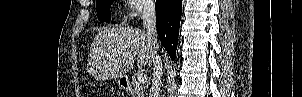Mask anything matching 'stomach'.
<instances>
[{"label": "stomach", "instance_id": "stomach-1", "mask_svg": "<svg viewBox=\"0 0 302 97\" xmlns=\"http://www.w3.org/2000/svg\"><path fill=\"white\" fill-rule=\"evenodd\" d=\"M118 83L124 87L126 85V78L123 76V77H120L119 80H118Z\"/></svg>", "mask_w": 302, "mask_h": 97}]
</instances>
